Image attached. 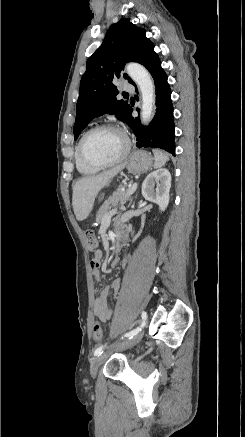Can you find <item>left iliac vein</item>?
Instances as JSON below:
<instances>
[{"label":"left iliac vein","mask_w":245,"mask_h":437,"mask_svg":"<svg viewBox=\"0 0 245 437\" xmlns=\"http://www.w3.org/2000/svg\"><path fill=\"white\" fill-rule=\"evenodd\" d=\"M143 336V331L140 330L136 335H134L132 338L127 339L126 341L120 343L119 345H117L116 349L120 350V349H125L128 347H132L134 345H136L142 338ZM107 357V353L101 354L99 356H97L96 358H94V360L91 363L90 366V374L93 378L96 377L97 371L99 366L101 365V363L104 361V359Z\"/></svg>","instance_id":"obj_1"}]
</instances>
